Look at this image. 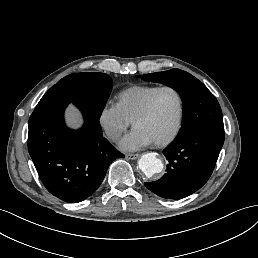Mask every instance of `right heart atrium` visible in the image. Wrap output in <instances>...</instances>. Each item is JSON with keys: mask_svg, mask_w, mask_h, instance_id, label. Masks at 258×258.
<instances>
[{"mask_svg": "<svg viewBox=\"0 0 258 258\" xmlns=\"http://www.w3.org/2000/svg\"><path fill=\"white\" fill-rule=\"evenodd\" d=\"M99 123L103 131L113 139L120 136L130 125L116 105L105 106L101 110Z\"/></svg>", "mask_w": 258, "mask_h": 258, "instance_id": "right-heart-atrium-1", "label": "right heart atrium"}]
</instances>
